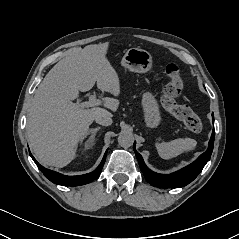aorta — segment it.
<instances>
[{
	"mask_svg": "<svg viewBox=\"0 0 239 239\" xmlns=\"http://www.w3.org/2000/svg\"><path fill=\"white\" fill-rule=\"evenodd\" d=\"M118 143L123 148H129L134 143V136L131 132L123 131L118 136Z\"/></svg>",
	"mask_w": 239,
	"mask_h": 239,
	"instance_id": "aorta-1",
	"label": "aorta"
}]
</instances>
